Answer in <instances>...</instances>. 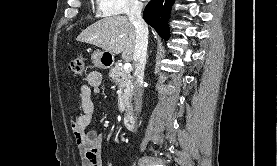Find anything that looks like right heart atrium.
<instances>
[{
    "label": "right heart atrium",
    "mask_w": 277,
    "mask_h": 166,
    "mask_svg": "<svg viewBox=\"0 0 277 166\" xmlns=\"http://www.w3.org/2000/svg\"><path fill=\"white\" fill-rule=\"evenodd\" d=\"M98 12L105 16L128 14L141 8L140 0H96Z\"/></svg>",
    "instance_id": "right-heart-atrium-1"
}]
</instances>
